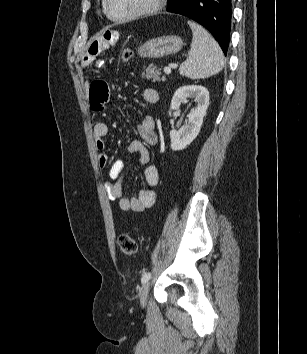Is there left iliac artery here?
<instances>
[{"label": "left iliac artery", "mask_w": 307, "mask_h": 354, "mask_svg": "<svg viewBox=\"0 0 307 354\" xmlns=\"http://www.w3.org/2000/svg\"><path fill=\"white\" fill-rule=\"evenodd\" d=\"M150 278H151V273L150 272H146V273L143 274V276L141 278V282L142 283H146Z\"/></svg>", "instance_id": "1"}]
</instances>
